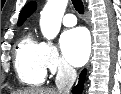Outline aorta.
<instances>
[{
    "mask_svg": "<svg viewBox=\"0 0 121 94\" xmlns=\"http://www.w3.org/2000/svg\"><path fill=\"white\" fill-rule=\"evenodd\" d=\"M68 0H48L41 12L40 28L43 36L51 41L60 31L62 17Z\"/></svg>",
    "mask_w": 121,
    "mask_h": 94,
    "instance_id": "aorta-1",
    "label": "aorta"
}]
</instances>
